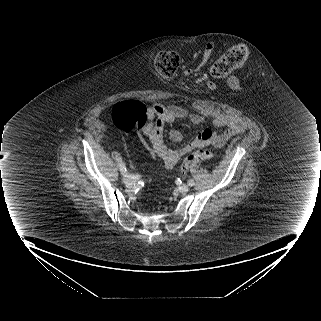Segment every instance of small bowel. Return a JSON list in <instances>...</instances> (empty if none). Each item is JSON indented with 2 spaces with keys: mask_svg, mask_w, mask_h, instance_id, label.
<instances>
[{
  "mask_svg": "<svg viewBox=\"0 0 321 321\" xmlns=\"http://www.w3.org/2000/svg\"><path fill=\"white\" fill-rule=\"evenodd\" d=\"M214 50L215 43L209 42L204 49L199 67H203L209 62ZM226 82L231 86L235 94H246L249 91L247 84L237 81L232 76L227 77ZM206 88L210 94L216 91V85L213 82L207 83ZM147 113L148 122L143 127L142 133L148 137L149 152L152 157L159 159L168 169L173 168L185 154L199 146L198 141L204 135L205 130L211 132L210 145L223 146L234 135L243 133L246 129V124L241 118L228 114H219L212 121V126L215 130L204 129L195 140L177 149H170L164 144L163 133L165 125L171 124L178 119H188L194 125H200L204 122V115L190 112L181 106L161 103L152 104ZM169 139L173 142H180L183 139V134L178 129H172L169 132Z\"/></svg>",
  "mask_w": 321,
  "mask_h": 321,
  "instance_id": "1",
  "label": "small bowel"
}]
</instances>
